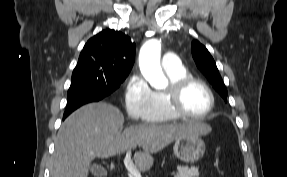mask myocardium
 Returning a JSON list of instances; mask_svg holds the SVG:
<instances>
[{"label":"myocardium","instance_id":"obj_1","mask_svg":"<svg viewBox=\"0 0 287 177\" xmlns=\"http://www.w3.org/2000/svg\"><path fill=\"white\" fill-rule=\"evenodd\" d=\"M192 84H199L202 86L210 97L209 109L202 115L191 114L187 112L182 106L183 94L185 90ZM165 96L167 99L168 107L175 116L193 120H203L208 118L212 114L216 103L214 91L209 86V84L204 80L191 75H186L177 81L170 83L165 89Z\"/></svg>","mask_w":287,"mask_h":177}]
</instances>
